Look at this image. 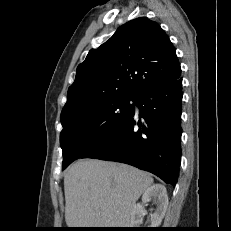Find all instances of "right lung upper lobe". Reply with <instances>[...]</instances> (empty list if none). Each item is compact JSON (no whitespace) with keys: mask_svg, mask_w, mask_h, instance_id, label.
Here are the masks:
<instances>
[{"mask_svg":"<svg viewBox=\"0 0 231 231\" xmlns=\"http://www.w3.org/2000/svg\"><path fill=\"white\" fill-rule=\"evenodd\" d=\"M181 67L165 31L146 17L117 29L77 67L61 116L177 80Z\"/></svg>","mask_w":231,"mask_h":231,"instance_id":"cb5924a9","label":"right lung upper lobe"}]
</instances>
